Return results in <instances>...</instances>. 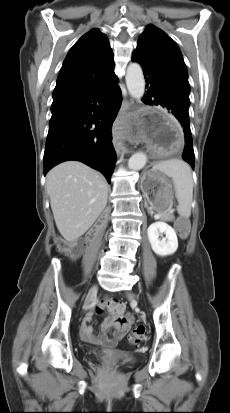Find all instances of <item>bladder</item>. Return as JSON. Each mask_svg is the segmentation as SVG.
I'll return each mask as SVG.
<instances>
[{
    "instance_id": "obj_1",
    "label": "bladder",
    "mask_w": 230,
    "mask_h": 413,
    "mask_svg": "<svg viewBox=\"0 0 230 413\" xmlns=\"http://www.w3.org/2000/svg\"><path fill=\"white\" fill-rule=\"evenodd\" d=\"M114 354L118 358V362L121 365H131V364H134L137 360L136 357L130 354H127V353L116 351L114 352Z\"/></svg>"
}]
</instances>
